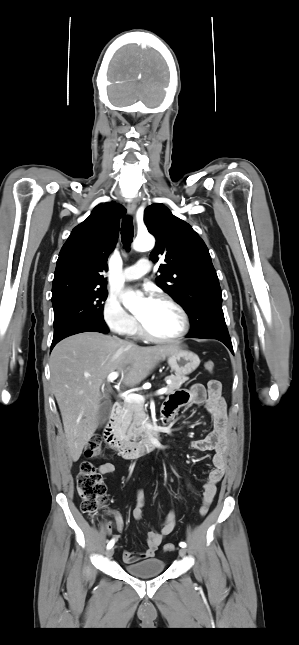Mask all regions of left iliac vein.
I'll use <instances>...</instances> for the list:
<instances>
[{"mask_svg":"<svg viewBox=\"0 0 299 645\" xmlns=\"http://www.w3.org/2000/svg\"><path fill=\"white\" fill-rule=\"evenodd\" d=\"M185 554H186V549L185 548H180L179 555L180 556H185Z\"/></svg>","mask_w":299,"mask_h":645,"instance_id":"4c4485c4","label":"left iliac vein"}]
</instances>
